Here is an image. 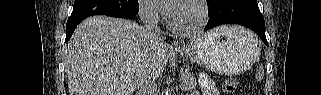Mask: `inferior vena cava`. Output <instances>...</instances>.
<instances>
[{
  "instance_id": "1",
  "label": "inferior vena cava",
  "mask_w": 321,
  "mask_h": 95,
  "mask_svg": "<svg viewBox=\"0 0 321 95\" xmlns=\"http://www.w3.org/2000/svg\"><path fill=\"white\" fill-rule=\"evenodd\" d=\"M141 15L145 30L157 41H163L161 30L158 26V13L151 6H143ZM139 95H158L155 77L150 73H144L138 83Z\"/></svg>"
}]
</instances>
